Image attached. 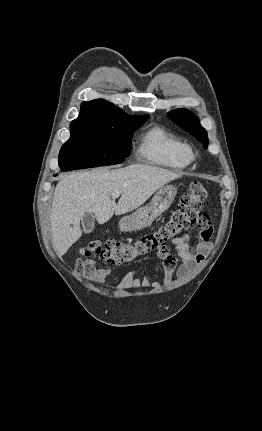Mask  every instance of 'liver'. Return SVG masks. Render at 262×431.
I'll return each mask as SVG.
<instances>
[{
	"mask_svg": "<svg viewBox=\"0 0 262 431\" xmlns=\"http://www.w3.org/2000/svg\"><path fill=\"white\" fill-rule=\"evenodd\" d=\"M164 168L133 164L120 169L79 171L66 175L54 192L50 226L52 244L63 256L82 235L80 220L93 213L99 224L116 215L126 214L144 204L154 192L181 177ZM120 192L118 203L113 192Z\"/></svg>",
	"mask_w": 262,
	"mask_h": 431,
	"instance_id": "obj_1",
	"label": "liver"
}]
</instances>
